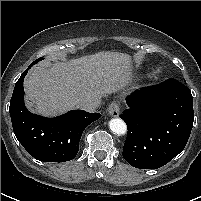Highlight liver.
<instances>
[{"instance_id":"1","label":"liver","mask_w":201,"mask_h":201,"mask_svg":"<svg viewBox=\"0 0 201 201\" xmlns=\"http://www.w3.org/2000/svg\"><path fill=\"white\" fill-rule=\"evenodd\" d=\"M131 58L126 53L102 51L55 64L44 63L24 81L27 105L44 116L76 107L79 97L115 93L131 81Z\"/></svg>"}]
</instances>
